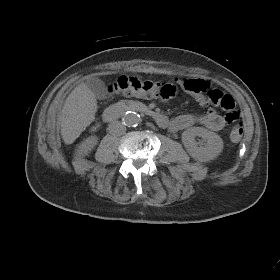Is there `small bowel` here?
<instances>
[{"label": "small bowel", "mask_w": 280, "mask_h": 280, "mask_svg": "<svg viewBox=\"0 0 280 280\" xmlns=\"http://www.w3.org/2000/svg\"><path fill=\"white\" fill-rule=\"evenodd\" d=\"M178 85L187 93L191 94L201 106L208 104V97L204 94L209 88V82L203 79L184 78L177 80ZM202 125L212 131H221L226 127L225 118L220 116L215 110L208 109L202 114H182L169 119L165 127L172 132H177L192 127Z\"/></svg>", "instance_id": "obj_1"}]
</instances>
